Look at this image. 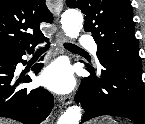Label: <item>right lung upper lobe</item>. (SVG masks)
I'll return each mask as SVG.
<instances>
[{
	"label": "right lung upper lobe",
	"instance_id": "cb5924a9",
	"mask_svg": "<svg viewBox=\"0 0 145 124\" xmlns=\"http://www.w3.org/2000/svg\"><path fill=\"white\" fill-rule=\"evenodd\" d=\"M52 21L45 0H0V53L35 47L45 39L40 24Z\"/></svg>",
	"mask_w": 145,
	"mask_h": 124
}]
</instances>
